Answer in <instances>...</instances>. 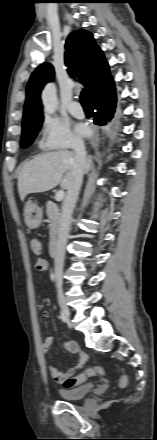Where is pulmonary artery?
Here are the masks:
<instances>
[{
    "mask_svg": "<svg viewBox=\"0 0 157 440\" xmlns=\"http://www.w3.org/2000/svg\"><path fill=\"white\" fill-rule=\"evenodd\" d=\"M68 111L76 117H82L83 116V109L79 102L72 101L68 106Z\"/></svg>",
    "mask_w": 157,
    "mask_h": 440,
    "instance_id": "obj_1",
    "label": "pulmonary artery"
}]
</instances>
